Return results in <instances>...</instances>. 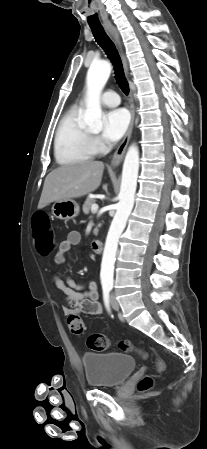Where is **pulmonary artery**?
<instances>
[{
    "label": "pulmonary artery",
    "mask_w": 207,
    "mask_h": 449,
    "mask_svg": "<svg viewBox=\"0 0 207 449\" xmlns=\"http://www.w3.org/2000/svg\"><path fill=\"white\" fill-rule=\"evenodd\" d=\"M101 102L108 107H115L120 104V97L115 91L108 90L101 96Z\"/></svg>",
    "instance_id": "obj_1"
}]
</instances>
